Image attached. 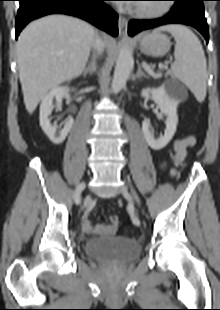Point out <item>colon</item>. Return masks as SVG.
<instances>
[{"mask_svg":"<svg viewBox=\"0 0 220 310\" xmlns=\"http://www.w3.org/2000/svg\"><path fill=\"white\" fill-rule=\"evenodd\" d=\"M110 221L113 227H117L119 225V218L117 216H111Z\"/></svg>","mask_w":220,"mask_h":310,"instance_id":"1","label":"colon"}]
</instances>
